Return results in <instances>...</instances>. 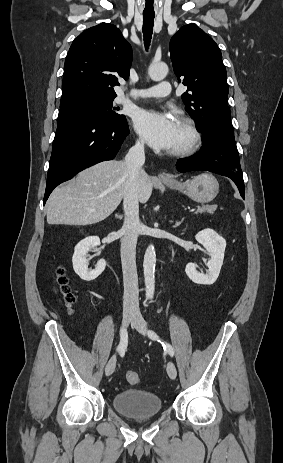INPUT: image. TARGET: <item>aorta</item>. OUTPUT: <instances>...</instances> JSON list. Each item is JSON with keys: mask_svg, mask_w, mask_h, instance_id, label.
<instances>
[{"mask_svg": "<svg viewBox=\"0 0 283 463\" xmlns=\"http://www.w3.org/2000/svg\"><path fill=\"white\" fill-rule=\"evenodd\" d=\"M168 73V66L163 62H153L148 69V74L153 81L163 80ZM155 264L156 252L153 244H150L144 255L143 270L145 291L147 298H153L155 290Z\"/></svg>", "mask_w": 283, "mask_h": 463, "instance_id": "1", "label": "aorta"}]
</instances>
